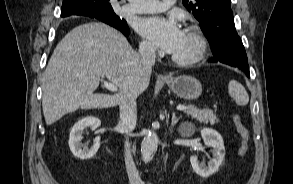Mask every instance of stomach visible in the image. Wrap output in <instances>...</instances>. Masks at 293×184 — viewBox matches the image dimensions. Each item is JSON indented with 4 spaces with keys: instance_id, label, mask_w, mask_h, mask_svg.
<instances>
[{
    "instance_id": "0dacf381",
    "label": "stomach",
    "mask_w": 293,
    "mask_h": 184,
    "mask_svg": "<svg viewBox=\"0 0 293 184\" xmlns=\"http://www.w3.org/2000/svg\"><path fill=\"white\" fill-rule=\"evenodd\" d=\"M166 83L177 96L186 100L197 99L202 93L201 83L192 76L173 77L166 80Z\"/></svg>"
}]
</instances>
